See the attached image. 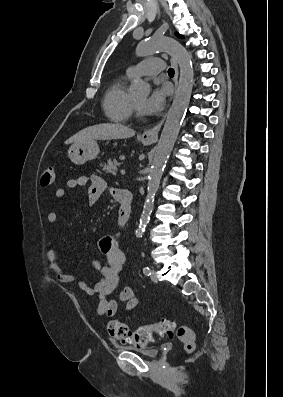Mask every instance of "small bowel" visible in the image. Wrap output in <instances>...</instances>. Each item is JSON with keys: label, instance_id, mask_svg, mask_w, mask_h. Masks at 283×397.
<instances>
[{"label": "small bowel", "instance_id": "c3829d8e", "mask_svg": "<svg viewBox=\"0 0 283 397\" xmlns=\"http://www.w3.org/2000/svg\"><path fill=\"white\" fill-rule=\"evenodd\" d=\"M90 181L88 189V201L90 205H94L107 185L103 178L98 175H92L89 178L86 176H79L77 178L69 179L66 183L70 189L83 187ZM121 190L112 189L111 194L115 200L118 201ZM66 191L64 188H58L55 191V197L62 199L65 197ZM47 221L51 224L58 221V214L56 212H49ZM99 249L106 256V264H101L98 260L92 261V267L99 271L102 277L94 284L89 286L86 281L82 280L75 274L67 273L61 267L57 260V253L54 245L49 242L46 247V259L50 272L61 283H76L78 287L90 296H98L99 302L97 306V313L100 316L113 317L118 310V303L125 302L126 312L133 311L138 305V299L135 297V292L132 287H119L120 277L126 257L123 252L117 234H109L99 240Z\"/></svg>", "mask_w": 283, "mask_h": 397}]
</instances>
